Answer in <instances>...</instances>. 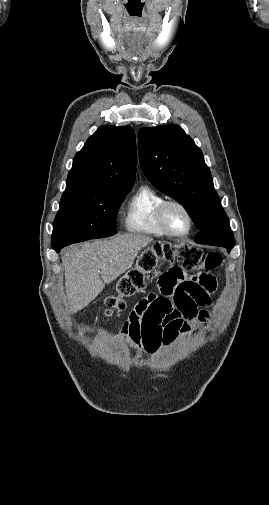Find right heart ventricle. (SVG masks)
I'll return each instance as SVG.
<instances>
[{
    "mask_svg": "<svg viewBox=\"0 0 269 505\" xmlns=\"http://www.w3.org/2000/svg\"><path fill=\"white\" fill-rule=\"evenodd\" d=\"M163 200L159 193L147 185L138 188L126 206V230L153 237L166 236L156 219V208Z\"/></svg>",
    "mask_w": 269,
    "mask_h": 505,
    "instance_id": "e07e8e85",
    "label": "right heart ventricle"
}]
</instances>
